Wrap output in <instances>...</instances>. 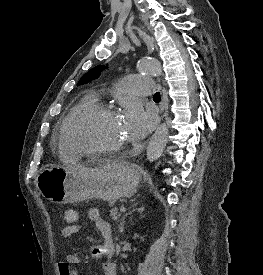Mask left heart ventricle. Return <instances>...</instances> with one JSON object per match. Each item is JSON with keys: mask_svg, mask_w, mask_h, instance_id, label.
<instances>
[{"mask_svg": "<svg viewBox=\"0 0 263 275\" xmlns=\"http://www.w3.org/2000/svg\"><path fill=\"white\" fill-rule=\"evenodd\" d=\"M76 141L88 149H108L130 143L122 119L102 114L85 121L75 135Z\"/></svg>", "mask_w": 263, "mask_h": 275, "instance_id": "obj_1", "label": "left heart ventricle"}]
</instances>
